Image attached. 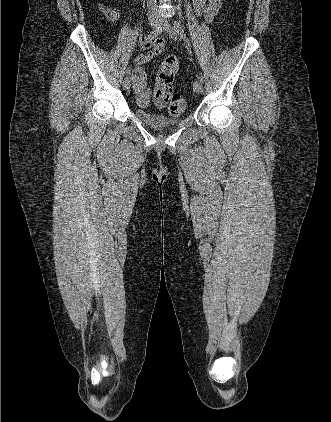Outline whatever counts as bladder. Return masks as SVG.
<instances>
[{"instance_id": "31cf9c89", "label": "bladder", "mask_w": 331, "mask_h": 422, "mask_svg": "<svg viewBox=\"0 0 331 422\" xmlns=\"http://www.w3.org/2000/svg\"><path fill=\"white\" fill-rule=\"evenodd\" d=\"M135 114L142 122L153 128L177 126L184 119V113L170 116L161 112H152L142 108H136Z\"/></svg>"}]
</instances>
